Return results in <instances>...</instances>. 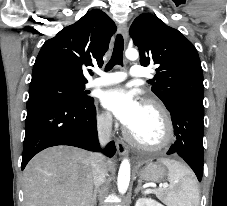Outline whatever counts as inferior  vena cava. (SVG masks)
I'll return each mask as SVG.
<instances>
[{"label":"inferior vena cava","mask_w":227,"mask_h":206,"mask_svg":"<svg viewBox=\"0 0 227 206\" xmlns=\"http://www.w3.org/2000/svg\"><path fill=\"white\" fill-rule=\"evenodd\" d=\"M111 129H112V115L107 114L98 123V137H99V142L102 146L106 145L110 141ZM91 165H92L93 174H94V185L97 188L105 180V176H106L105 157L100 153L94 154V158L92 160Z\"/></svg>","instance_id":"602c4592"}]
</instances>
